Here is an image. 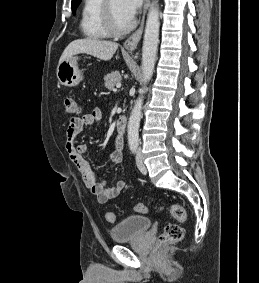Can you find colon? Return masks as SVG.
I'll return each instance as SVG.
<instances>
[{
  "label": "colon",
  "instance_id": "colon-1",
  "mask_svg": "<svg viewBox=\"0 0 259 283\" xmlns=\"http://www.w3.org/2000/svg\"><path fill=\"white\" fill-rule=\"evenodd\" d=\"M66 111L69 115L75 116L80 113V106L78 102L73 98H67L65 100ZM135 211L138 213H147L148 206L144 203H138L135 206ZM169 211L174 219V222L168 224L163 233L158 238L159 245H168L177 243L182 240L184 236V230L182 223L187 219V212L183 206L178 203H171L169 205ZM107 222L114 223L116 221L115 214L113 212H107L105 214Z\"/></svg>",
  "mask_w": 259,
  "mask_h": 283
}]
</instances>
